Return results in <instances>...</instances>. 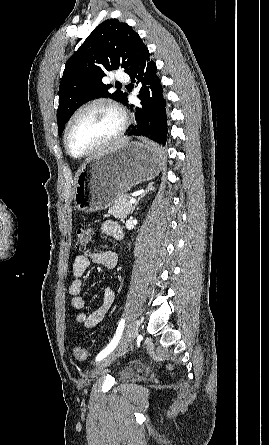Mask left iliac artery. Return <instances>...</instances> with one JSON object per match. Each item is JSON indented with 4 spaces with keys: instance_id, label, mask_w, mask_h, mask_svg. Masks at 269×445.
<instances>
[{
    "instance_id": "44dca946",
    "label": "left iliac artery",
    "mask_w": 269,
    "mask_h": 445,
    "mask_svg": "<svg viewBox=\"0 0 269 445\" xmlns=\"http://www.w3.org/2000/svg\"><path fill=\"white\" fill-rule=\"evenodd\" d=\"M124 324H125V320H124V319H121L120 322H119V324H118L116 333H115V335H114L112 341L107 345V347H105V348H104V349L97 355V357H96V361H100V360H102L103 358H105L108 354H110V353L114 350V348L116 347V345H117L118 342H119V339L121 338V335H122V332H123V329H124Z\"/></svg>"
}]
</instances>
